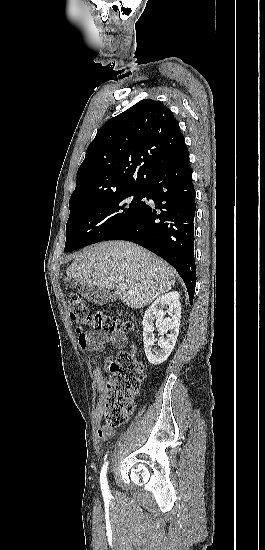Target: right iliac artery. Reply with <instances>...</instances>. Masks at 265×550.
I'll use <instances>...</instances> for the list:
<instances>
[{"mask_svg":"<svg viewBox=\"0 0 265 550\" xmlns=\"http://www.w3.org/2000/svg\"><path fill=\"white\" fill-rule=\"evenodd\" d=\"M108 462H106L101 470L100 474V484H101V490L104 495H108L110 493L109 487L107 484V478H106V472H107Z\"/></svg>","mask_w":265,"mask_h":550,"instance_id":"82829eb1","label":"right iliac artery"}]
</instances>
